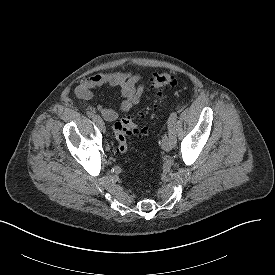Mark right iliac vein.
<instances>
[{
    "instance_id": "right-iliac-vein-1",
    "label": "right iliac vein",
    "mask_w": 275,
    "mask_h": 275,
    "mask_svg": "<svg viewBox=\"0 0 275 275\" xmlns=\"http://www.w3.org/2000/svg\"><path fill=\"white\" fill-rule=\"evenodd\" d=\"M97 126H98L99 130L102 133H105L106 127H105V124H104V122L102 120H100V121L97 122Z\"/></svg>"
}]
</instances>
